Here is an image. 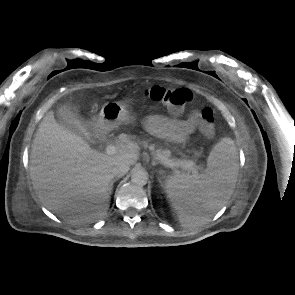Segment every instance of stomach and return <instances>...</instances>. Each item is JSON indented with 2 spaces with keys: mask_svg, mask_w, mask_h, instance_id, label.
<instances>
[{
  "mask_svg": "<svg viewBox=\"0 0 295 295\" xmlns=\"http://www.w3.org/2000/svg\"><path fill=\"white\" fill-rule=\"evenodd\" d=\"M131 115L124 104L107 102L102 106L98 118L93 122L96 129L110 131L122 123H129Z\"/></svg>",
  "mask_w": 295,
  "mask_h": 295,
  "instance_id": "1",
  "label": "stomach"
}]
</instances>
